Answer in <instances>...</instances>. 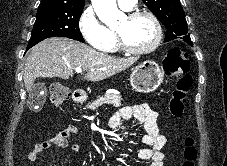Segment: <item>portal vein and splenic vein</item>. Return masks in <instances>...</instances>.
<instances>
[{
    "mask_svg": "<svg viewBox=\"0 0 227 166\" xmlns=\"http://www.w3.org/2000/svg\"><path fill=\"white\" fill-rule=\"evenodd\" d=\"M77 73H82V70L80 68H75L74 69Z\"/></svg>",
    "mask_w": 227,
    "mask_h": 166,
    "instance_id": "obj_1",
    "label": "portal vein and splenic vein"
}]
</instances>
